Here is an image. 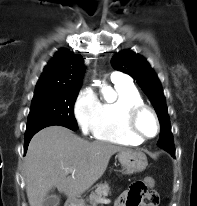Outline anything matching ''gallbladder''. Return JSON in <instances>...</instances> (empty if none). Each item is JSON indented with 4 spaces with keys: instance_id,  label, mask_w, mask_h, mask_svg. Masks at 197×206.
<instances>
[{
    "instance_id": "obj_1",
    "label": "gallbladder",
    "mask_w": 197,
    "mask_h": 206,
    "mask_svg": "<svg viewBox=\"0 0 197 206\" xmlns=\"http://www.w3.org/2000/svg\"><path fill=\"white\" fill-rule=\"evenodd\" d=\"M60 203V197L55 193L49 192L43 202V206H58Z\"/></svg>"
}]
</instances>
